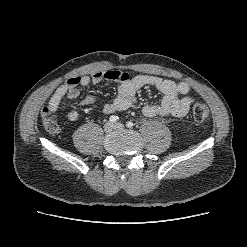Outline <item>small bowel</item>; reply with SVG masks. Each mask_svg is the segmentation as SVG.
I'll use <instances>...</instances> for the list:
<instances>
[{"mask_svg":"<svg viewBox=\"0 0 247 247\" xmlns=\"http://www.w3.org/2000/svg\"><path fill=\"white\" fill-rule=\"evenodd\" d=\"M101 82H114L118 84V96L110 103L104 105L103 112L112 114L124 111L135 103V95L143 87H152L162 93V100L158 104H149L143 107L142 112L147 117L185 116L193 103V98L188 95L190 87L186 82L176 83L169 79L151 75H136L130 77L128 73L117 70L98 71L92 75L74 76L58 87L51 96L48 107L53 111L57 130L56 112L64 100H73L80 96L79 87L95 85ZM96 102L93 97H85L81 105H92ZM67 119L74 122L78 113L74 110L67 113Z\"/></svg>","mask_w":247,"mask_h":247,"instance_id":"obj_1","label":"small bowel"}]
</instances>
